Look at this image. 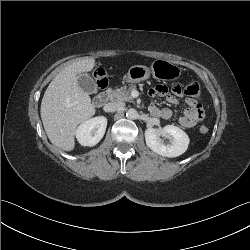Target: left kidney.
Listing matches in <instances>:
<instances>
[{"label": "left kidney", "instance_id": "left-kidney-1", "mask_svg": "<svg viewBox=\"0 0 250 250\" xmlns=\"http://www.w3.org/2000/svg\"><path fill=\"white\" fill-rule=\"evenodd\" d=\"M161 136L172 137L170 144H165ZM146 145L155 153L164 157H178L188 149L189 137L179 127L166 125L162 129L148 128L145 130Z\"/></svg>", "mask_w": 250, "mask_h": 250}]
</instances>
